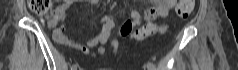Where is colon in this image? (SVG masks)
I'll return each instance as SVG.
<instances>
[{"label":"colon","instance_id":"5ec220e1","mask_svg":"<svg viewBox=\"0 0 238 70\" xmlns=\"http://www.w3.org/2000/svg\"><path fill=\"white\" fill-rule=\"evenodd\" d=\"M30 10L39 16H45L52 12V4L50 0H29ZM195 0H179L177 2V14L180 17H187L193 10ZM156 32H163V27H157L153 19H148L147 24L134 33L137 40H142Z\"/></svg>","mask_w":238,"mask_h":70}]
</instances>
